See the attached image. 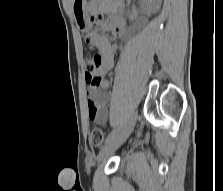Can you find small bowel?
Here are the masks:
<instances>
[{
    "label": "small bowel",
    "instance_id": "c3829d8e",
    "mask_svg": "<svg viewBox=\"0 0 223 191\" xmlns=\"http://www.w3.org/2000/svg\"><path fill=\"white\" fill-rule=\"evenodd\" d=\"M97 26L100 29H106L108 23L105 21L104 17L100 16L97 21ZM113 34L116 37H122L125 31V24L122 21H116L112 27ZM87 40L90 44L95 46L98 50L100 57V68L99 72L102 77V81L99 86H89L87 89V112L88 118L95 123L105 124L109 119L108 111V94L101 92L100 90H105L109 86V82L104 78L105 74L108 73L114 64V52L109 40L100 32L93 31L90 32Z\"/></svg>",
    "mask_w": 223,
    "mask_h": 191
}]
</instances>
